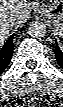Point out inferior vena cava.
<instances>
[{
  "instance_id": "602c4592",
  "label": "inferior vena cava",
  "mask_w": 63,
  "mask_h": 107,
  "mask_svg": "<svg viewBox=\"0 0 63 107\" xmlns=\"http://www.w3.org/2000/svg\"><path fill=\"white\" fill-rule=\"evenodd\" d=\"M16 23V17L14 16H9L7 19L4 20V24L8 26H14Z\"/></svg>"
}]
</instances>
